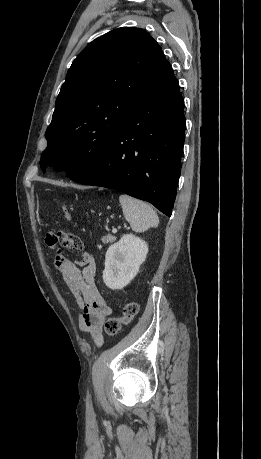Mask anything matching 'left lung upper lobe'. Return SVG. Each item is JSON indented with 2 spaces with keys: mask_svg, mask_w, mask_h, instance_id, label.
Here are the masks:
<instances>
[{
  "mask_svg": "<svg viewBox=\"0 0 261 459\" xmlns=\"http://www.w3.org/2000/svg\"><path fill=\"white\" fill-rule=\"evenodd\" d=\"M172 71L141 28L121 27L92 41L73 61L47 128L40 160L72 178L94 166L139 105Z\"/></svg>",
  "mask_w": 261,
  "mask_h": 459,
  "instance_id": "obj_1",
  "label": "left lung upper lobe"
}]
</instances>
